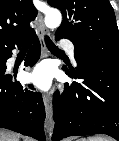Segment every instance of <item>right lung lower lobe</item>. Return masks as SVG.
Segmentation results:
<instances>
[{"label": "right lung lower lobe", "mask_w": 119, "mask_h": 141, "mask_svg": "<svg viewBox=\"0 0 119 141\" xmlns=\"http://www.w3.org/2000/svg\"><path fill=\"white\" fill-rule=\"evenodd\" d=\"M31 41L25 59L26 66H33L40 57V42L35 32L22 44ZM0 54V127L31 136L39 141L45 139V107L40 93L33 92V86L23 88L19 82H13V76L6 73V60L11 57L12 49Z\"/></svg>", "instance_id": "98d812e1"}]
</instances>
